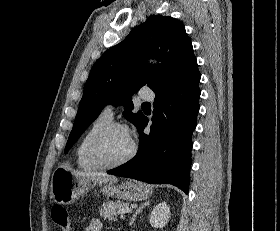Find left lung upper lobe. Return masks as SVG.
<instances>
[{"label": "left lung upper lobe", "instance_id": "left-lung-upper-lobe-1", "mask_svg": "<svg viewBox=\"0 0 280 231\" xmlns=\"http://www.w3.org/2000/svg\"><path fill=\"white\" fill-rule=\"evenodd\" d=\"M149 58H157L162 64L149 65ZM196 68L192 43L183 24L168 16H150L93 65L65 153L105 105H124L123 115L136 126L143 113H132V94L144 85L154 92L162 90Z\"/></svg>", "mask_w": 280, "mask_h": 231}]
</instances>
